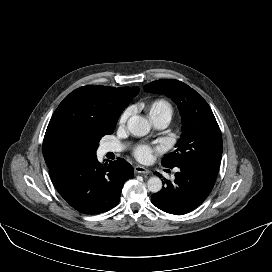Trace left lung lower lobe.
<instances>
[{
    "label": "left lung lower lobe",
    "mask_w": 272,
    "mask_h": 272,
    "mask_svg": "<svg viewBox=\"0 0 272 272\" xmlns=\"http://www.w3.org/2000/svg\"><path fill=\"white\" fill-rule=\"evenodd\" d=\"M177 168L174 181L164 179L165 186L151 196L157 208L174 215L186 214L201 205L216 180V177L187 166ZM155 174L159 175L157 172Z\"/></svg>",
    "instance_id": "left-lung-lower-lobe-1"
}]
</instances>
